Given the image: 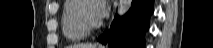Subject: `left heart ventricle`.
I'll use <instances>...</instances> for the list:
<instances>
[{
    "instance_id": "left-heart-ventricle-1",
    "label": "left heart ventricle",
    "mask_w": 213,
    "mask_h": 48,
    "mask_svg": "<svg viewBox=\"0 0 213 48\" xmlns=\"http://www.w3.org/2000/svg\"><path fill=\"white\" fill-rule=\"evenodd\" d=\"M95 5L94 2L88 1L83 9V13L88 18L90 22H96L97 18L95 16Z\"/></svg>"
}]
</instances>
